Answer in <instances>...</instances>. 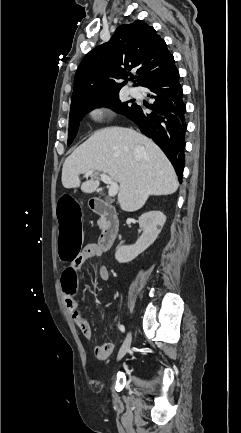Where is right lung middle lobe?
Returning <instances> with one entry per match:
<instances>
[{
    "mask_svg": "<svg viewBox=\"0 0 241 433\" xmlns=\"http://www.w3.org/2000/svg\"><path fill=\"white\" fill-rule=\"evenodd\" d=\"M101 105H108L116 112L127 115L133 109L135 103H122L119 99V93H116L101 98L79 101L74 105H71L67 145H70L73 142L78 131L79 122L82 120L85 114L91 111L93 108Z\"/></svg>",
    "mask_w": 241,
    "mask_h": 433,
    "instance_id": "obj_1",
    "label": "right lung middle lobe"
}]
</instances>
